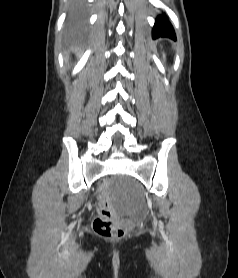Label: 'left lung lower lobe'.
<instances>
[{
  "mask_svg": "<svg viewBox=\"0 0 238 278\" xmlns=\"http://www.w3.org/2000/svg\"><path fill=\"white\" fill-rule=\"evenodd\" d=\"M153 38L157 37H169L171 39H176L175 32L172 25L164 16H159L156 21L152 31Z\"/></svg>",
  "mask_w": 238,
  "mask_h": 278,
  "instance_id": "obj_1",
  "label": "left lung lower lobe"
}]
</instances>
